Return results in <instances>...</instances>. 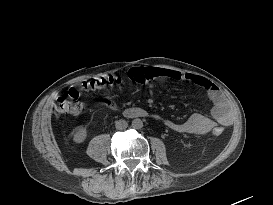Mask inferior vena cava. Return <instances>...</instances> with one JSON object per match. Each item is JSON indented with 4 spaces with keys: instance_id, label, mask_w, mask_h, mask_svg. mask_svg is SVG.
Wrapping results in <instances>:
<instances>
[{
    "instance_id": "602c4592",
    "label": "inferior vena cava",
    "mask_w": 273,
    "mask_h": 205,
    "mask_svg": "<svg viewBox=\"0 0 273 205\" xmlns=\"http://www.w3.org/2000/svg\"><path fill=\"white\" fill-rule=\"evenodd\" d=\"M115 127L118 130H125L128 127V123L125 120H117L115 121Z\"/></svg>"
}]
</instances>
